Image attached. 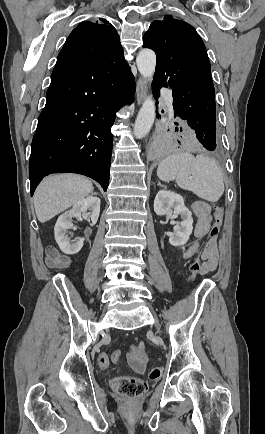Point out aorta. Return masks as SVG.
<instances>
[{
    "label": "aorta",
    "mask_w": 265,
    "mask_h": 434,
    "mask_svg": "<svg viewBox=\"0 0 265 434\" xmlns=\"http://www.w3.org/2000/svg\"><path fill=\"white\" fill-rule=\"evenodd\" d=\"M137 68L144 80H152L156 66V54L153 50H141L136 58ZM155 120V102L150 98H145L142 108L138 112L135 120L134 136L137 140L145 138L149 134Z\"/></svg>",
    "instance_id": "1"
}]
</instances>
